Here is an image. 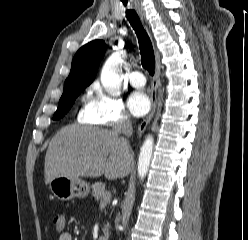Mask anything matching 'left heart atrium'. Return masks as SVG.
<instances>
[{"label": "left heart atrium", "instance_id": "left-heart-atrium-1", "mask_svg": "<svg viewBox=\"0 0 248 240\" xmlns=\"http://www.w3.org/2000/svg\"><path fill=\"white\" fill-rule=\"evenodd\" d=\"M128 108L132 115L141 117L149 111L150 101L142 91H135L128 99Z\"/></svg>", "mask_w": 248, "mask_h": 240}]
</instances>
